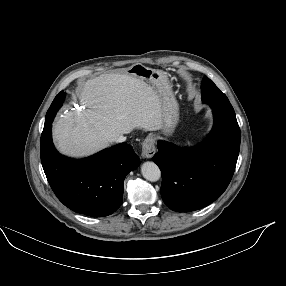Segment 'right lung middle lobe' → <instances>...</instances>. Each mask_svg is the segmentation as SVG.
<instances>
[{
	"label": "right lung middle lobe",
	"mask_w": 286,
	"mask_h": 286,
	"mask_svg": "<svg viewBox=\"0 0 286 286\" xmlns=\"http://www.w3.org/2000/svg\"><path fill=\"white\" fill-rule=\"evenodd\" d=\"M65 98V93L61 91L53 100L50 108L48 109V112L45 117V122L53 121V118L56 115V112L58 109L62 106L63 100Z\"/></svg>",
	"instance_id": "right-lung-middle-lobe-1"
}]
</instances>
